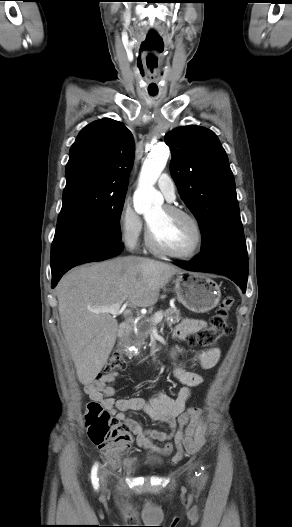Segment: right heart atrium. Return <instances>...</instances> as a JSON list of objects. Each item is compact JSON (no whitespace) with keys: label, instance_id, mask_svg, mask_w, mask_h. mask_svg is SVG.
<instances>
[{"label":"right heart atrium","instance_id":"right-heart-atrium-1","mask_svg":"<svg viewBox=\"0 0 292 527\" xmlns=\"http://www.w3.org/2000/svg\"><path fill=\"white\" fill-rule=\"evenodd\" d=\"M118 224L123 242L135 248L143 233V222L129 201H124L121 206Z\"/></svg>","mask_w":292,"mask_h":527}]
</instances>
